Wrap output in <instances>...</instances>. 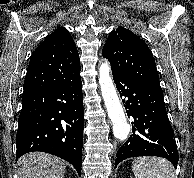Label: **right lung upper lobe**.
<instances>
[{
  "instance_id": "cb5924a9",
  "label": "right lung upper lobe",
  "mask_w": 194,
  "mask_h": 178,
  "mask_svg": "<svg viewBox=\"0 0 194 178\" xmlns=\"http://www.w3.org/2000/svg\"><path fill=\"white\" fill-rule=\"evenodd\" d=\"M80 77L76 44L69 31L60 27L32 53L23 94L72 82Z\"/></svg>"
}]
</instances>
